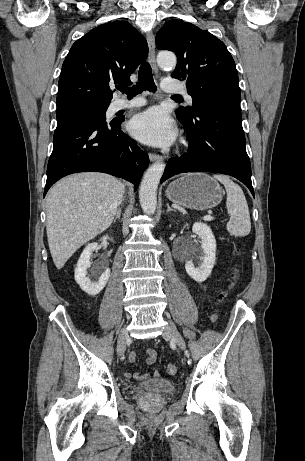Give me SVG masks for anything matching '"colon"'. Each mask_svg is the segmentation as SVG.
I'll return each instance as SVG.
<instances>
[{"label": "colon", "mask_w": 305, "mask_h": 461, "mask_svg": "<svg viewBox=\"0 0 305 461\" xmlns=\"http://www.w3.org/2000/svg\"><path fill=\"white\" fill-rule=\"evenodd\" d=\"M239 277H240V268L237 267V268L234 270V272L232 273V276H231V283H230L228 289L225 290V291H223V292L220 294V296H219L220 300H224V299L227 297L229 291H230L232 288L235 287L237 281L239 280ZM216 319H217V316L214 315L213 318H212V320H213V321H216ZM166 372H167L169 375H175V374L177 373V366H176L175 364H173V363L168 364V365L166 366Z\"/></svg>", "instance_id": "obj_1"}]
</instances>
